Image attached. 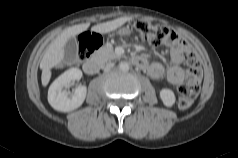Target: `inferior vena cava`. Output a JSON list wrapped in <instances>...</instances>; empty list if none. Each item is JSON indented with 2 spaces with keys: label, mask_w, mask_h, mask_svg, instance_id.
Segmentation results:
<instances>
[{
  "label": "inferior vena cava",
  "mask_w": 238,
  "mask_h": 158,
  "mask_svg": "<svg viewBox=\"0 0 238 158\" xmlns=\"http://www.w3.org/2000/svg\"><path fill=\"white\" fill-rule=\"evenodd\" d=\"M113 67H114V63H107L104 67V71H109Z\"/></svg>",
  "instance_id": "1"
}]
</instances>
